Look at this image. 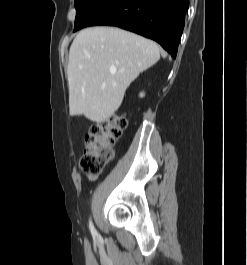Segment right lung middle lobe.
<instances>
[{
	"label": "right lung middle lobe",
	"instance_id": "right-lung-middle-lobe-1",
	"mask_svg": "<svg viewBox=\"0 0 247 265\" xmlns=\"http://www.w3.org/2000/svg\"><path fill=\"white\" fill-rule=\"evenodd\" d=\"M98 0H75L76 19L75 26L81 21L86 13L95 5Z\"/></svg>",
	"mask_w": 247,
	"mask_h": 265
}]
</instances>
